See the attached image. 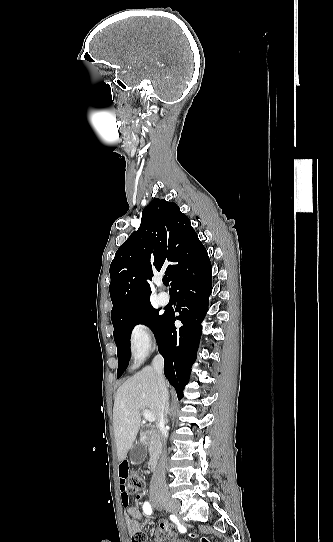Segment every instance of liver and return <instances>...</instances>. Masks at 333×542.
Returning <instances> with one entry per match:
<instances>
[{
  "mask_svg": "<svg viewBox=\"0 0 333 542\" xmlns=\"http://www.w3.org/2000/svg\"><path fill=\"white\" fill-rule=\"evenodd\" d=\"M145 408H149L156 416V428H159L161 394L152 366H146L141 372H137L117 390L113 408V430L119 462L125 460L137 438L141 412Z\"/></svg>",
  "mask_w": 333,
  "mask_h": 542,
  "instance_id": "1",
  "label": "liver"
}]
</instances>
